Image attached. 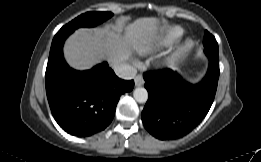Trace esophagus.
Here are the masks:
<instances>
[{"instance_id":"1","label":"esophagus","mask_w":261,"mask_h":162,"mask_svg":"<svg viewBox=\"0 0 261 162\" xmlns=\"http://www.w3.org/2000/svg\"><path fill=\"white\" fill-rule=\"evenodd\" d=\"M135 86H142L144 84V78L141 74L137 75L134 78Z\"/></svg>"}]
</instances>
